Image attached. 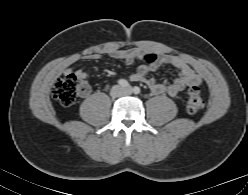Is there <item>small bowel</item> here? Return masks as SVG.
<instances>
[{"label": "small bowel", "mask_w": 248, "mask_h": 195, "mask_svg": "<svg viewBox=\"0 0 248 195\" xmlns=\"http://www.w3.org/2000/svg\"><path fill=\"white\" fill-rule=\"evenodd\" d=\"M137 52L135 50L128 51H117L112 50L108 52V56L114 59H120L126 63H130L134 60ZM103 56L101 54H90L86 57L89 61H98ZM160 66H170L177 69L179 75L171 83L157 82L154 78L147 77V74L151 71H155ZM73 69L69 68L66 70L67 73L72 72ZM74 73L81 79L86 80L87 73L82 69H77ZM133 81L144 82L149 89L155 95H162L167 93L171 97H177L186 87L197 86L202 82L200 74L194 71L188 64H186L181 58L163 54L157 57V59L149 65L139 66L131 74ZM89 93V87L86 85V90L82 93L84 96Z\"/></svg>", "instance_id": "small-bowel-1"}]
</instances>
